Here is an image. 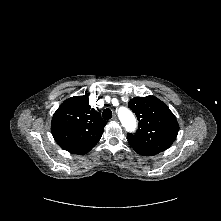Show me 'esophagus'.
<instances>
[{"instance_id": "esophagus-1", "label": "esophagus", "mask_w": 221, "mask_h": 221, "mask_svg": "<svg viewBox=\"0 0 221 221\" xmlns=\"http://www.w3.org/2000/svg\"><path fill=\"white\" fill-rule=\"evenodd\" d=\"M111 121H113V122L117 121V116L113 115V117L111 118Z\"/></svg>"}]
</instances>
